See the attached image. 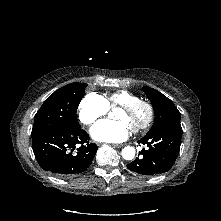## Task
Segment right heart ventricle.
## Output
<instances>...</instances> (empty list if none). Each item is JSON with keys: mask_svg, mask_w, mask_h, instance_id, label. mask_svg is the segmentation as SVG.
Wrapping results in <instances>:
<instances>
[{"mask_svg": "<svg viewBox=\"0 0 221 221\" xmlns=\"http://www.w3.org/2000/svg\"><path fill=\"white\" fill-rule=\"evenodd\" d=\"M103 98L109 108L120 106L139 99L136 94L128 90H116L106 94Z\"/></svg>", "mask_w": 221, "mask_h": 221, "instance_id": "right-heart-ventricle-1", "label": "right heart ventricle"}]
</instances>
